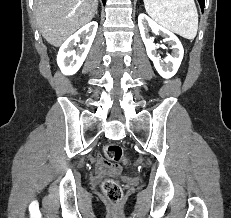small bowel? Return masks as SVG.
I'll return each instance as SVG.
<instances>
[{"mask_svg": "<svg viewBox=\"0 0 231 218\" xmlns=\"http://www.w3.org/2000/svg\"><path fill=\"white\" fill-rule=\"evenodd\" d=\"M96 170L99 174L117 175L121 172V167L98 155L96 157Z\"/></svg>", "mask_w": 231, "mask_h": 218, "instance_id": "1", "label": "small bowel"}]
</instances>
